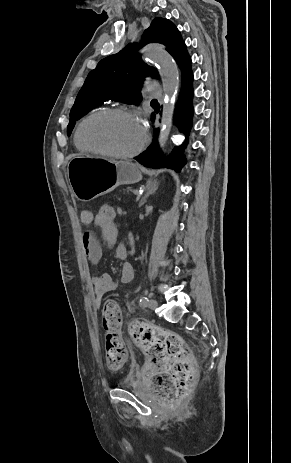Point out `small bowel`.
I'll return each instance as SVG.
<instances>
[{
  "label": "small bowel",
  "instance_id": "c3829d8e",
  "mask_svg": "<svg viewBox=\"0 0 291 463\" xmlns=\"http://www.w3.org/2000/svg\"><path fill=\"white\" fill-rule=\"evenodd\" d=\"M81 223L90 227L98 226L96 214L90 210H83L80 215ZM99 227V226H98ZM100 228V227H99ZM103 241L108 246H114L118 237V226H106L100 228ZM82 245L87 259L92 264H98L101 260V247L94 233L88 229L82 234ZM131 250L124 244L115 246V257L118 259H126L130 256ZM134 278V268L130 262H125L121 268L120 281L124 284L130 283ZM91 283L94 290V295L97 301L107 293L113 292L118 284L109 274L94 275L91 277Z\"/></svg>",
  "mask_w": 291,
  "mask_h": 463
}]
</instances>
